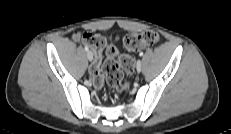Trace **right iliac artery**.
<instances>
[{
  "mask_svg": "<svg viewBox=\"0 0 231 134\" xmlns=\"http://www.w3.org/2000/svg\"><path fill=\"white\" fill-rule=\"evenodd\" d=\"M85 50L88 51V47L87 46H85Z\"/></svg>",
  "mask_w": 231,
  "mask_h": 134,
  "instance_id": "82829eb1",
  "label": "right iliac artery"
}]
</instances>
